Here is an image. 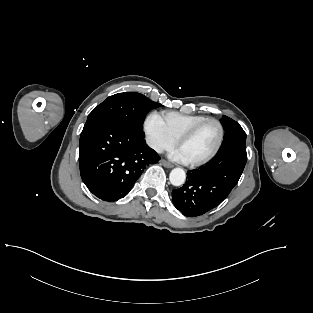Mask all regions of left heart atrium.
<instances>
[{
  "label": "left heart atrium",
  "instance_id": "left-heart-atrium-1",
  "mask_svg": "<svg viewBox=\"0 0 313 313\" xmlns=\"http://www.w3.org/2000/svg\"><path fill=\"white\" fill-rule=\"evenodd\" d=\"M171 157L178 162H182V163L188 162L187 158L185 157V155L183 154V152L180 149L175 150L171 154Z\"/></svg>",
  "mask_w": 313,
  "mask_h": 313
}]
</instances>
